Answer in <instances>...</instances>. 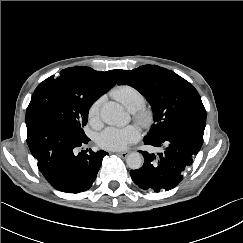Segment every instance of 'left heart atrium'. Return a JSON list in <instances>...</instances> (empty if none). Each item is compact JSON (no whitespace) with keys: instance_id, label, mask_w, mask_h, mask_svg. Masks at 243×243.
<instances>
[{"instance_id":"39dd6f15","label":"left heart atrium","mask_w":243,"mask_h":243,"mask_svg":"<svg viewBox=\"0 0 243 243\" xmlns=\"http://www.w3.org/2000/svg\"><path fill=\"white\" fill-rule=\"evenodd\" d=\"M140 136V130L135 125L108 127L98 135L97 143L104 149L123 150L136 142Z\"/></svg>"}]
</instances>
